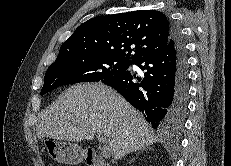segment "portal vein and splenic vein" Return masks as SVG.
<instances>
[{
    "label": "portal vein and splenic vein",
    "instance_id": "obj_1",
    "mask_svg": "<svg viewBox=\"0 0 231 166\" xmlns=\"http://www.w3.org/2000/svg\"><path fill=\"white\" fill-rule=\"evenodd\" d=\"M97 138H98L99 142L101 144H103V147H102V155H103V157L106 158V159L109 158L111 152H110L109 146H107V139L100 133L97 134Z\"/></svg>",
    "mask_w": 231,
    "mask_h": 166
}]
</instances>
